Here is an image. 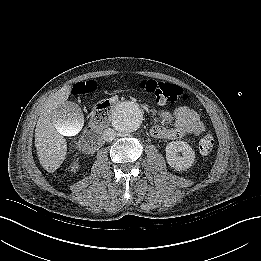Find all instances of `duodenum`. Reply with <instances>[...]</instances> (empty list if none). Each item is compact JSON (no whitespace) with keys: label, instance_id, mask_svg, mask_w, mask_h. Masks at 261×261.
I'll return each instance as SVG.
<instances>
[{"label":"duodenum","instance_id":"obj_1","mask_svg":"<svg viewBox=\"0 0 261 261\" xmlns=\"http://www.w3.org/2000/svg\"><path fill=\"white\" fill-rule=\"evenodd\" d=\"M107 122L94 125L88 130L80 140V150L85 154H93L102 144L101 131L106 127Z\"/></svg>","mask_w":261,"mask_h":261}]
</instances>
